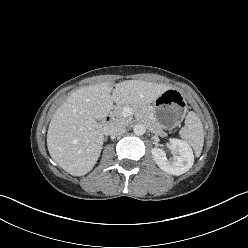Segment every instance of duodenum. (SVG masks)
<instances>
[{
    "mask_svg": "<svg viewBox=\"0 0 248 248\" xmlns=\"http://www.w3.org/2000/svg\"><path fill=\"white\" fill-rule=\"evenodd\" d=\"M111 121V115L110 114H107L105 117H104V122L105 123H109Z\"/></svg>",
    "mask_w": 248,
    "mask_h": 248,
    "instance_id": "duodenum-1",
    "label": "duodenum"
}]
</instances>
